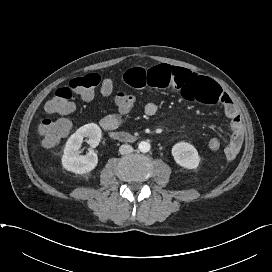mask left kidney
Instances as JSON below:
<instances>
[{"instance_id": "obj_1", "label": "left kidney", "mask_w": 272, "mask_h": 272, "mask_svg": "<svg viewBox=\"0 0 272 272\" xmlns=\"http://www.w3.org/2000/svg\"><path fill=\"white\" fill-rule=\"evenodd\" d=\"M171 153L175 162L186 169H196L201 160L197 149L187 142L176 143Z\"/></svg>"}]
</instances>
